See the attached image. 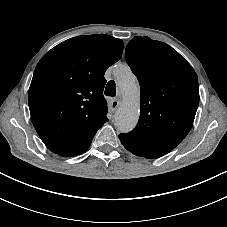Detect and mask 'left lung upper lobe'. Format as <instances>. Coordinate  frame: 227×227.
Returning a JSON list of instances; mask_svg holds the SVG:
<instances>
[{
  "instance_id": "1",
  "label": "left lung upper lobe",
  "mask_w": 227,
  "mask_h": 227,
  "mask_svg": "<svg viewBox=\"0 0 227 227\" xmlns=\"http://www.w3.org/2000/svg\"><path fill=\"white\" fill-rule=\"evenodd\" d=\"M125 59L140 84V118L119 139L165 155L193 125L199 104L197 74L176 50L148 37L133 38Z\"/></svg>"
}]
</instances>
